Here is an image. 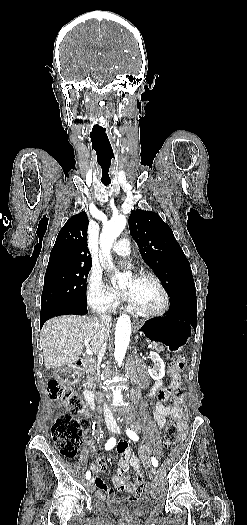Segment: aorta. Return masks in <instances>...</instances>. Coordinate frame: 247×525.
Segmentation results:
<instances>
[{"label": "aorta", "instance_id": "aorta-1", "mask_svg": "<svg viewBox=\"0 0 247 525\" xmlns=\"http://www.w3.org/2000/svg\"><path fill=\"white\" fill-rule=\"evenodd\" d=\"M127 223L126 217L123 215L114 216L110 219L108 223L103 226L102 233L100 235V249L104 259L107 262V266L110 269H113V263L110 256V250L113 242L123 231ZM118 283L122 286L126 279L127 275L122 273L115 274ZM131 335V320L130 317L122 314L116 324L115 331V350L114 357L118 362V365L122 364V361L125 357L126 350L130 342Z\"/></svg>", "mask_w": 247, "mask_h": 525}]
</instances>
